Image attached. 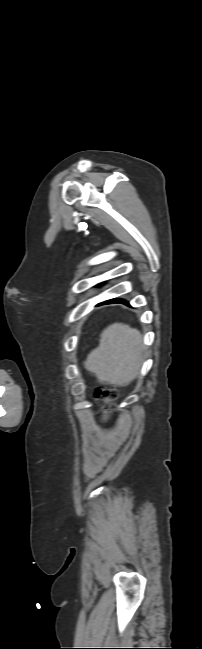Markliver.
Segmentation results:
<instances>
[{"label":"liver","instance_id":"6515ba94","mask_svg":"<svg viewBox=\"0 0 202 649\" xmlns=\"http://www.w3.org/2000/svg\"><path fill=\"white\" fill-rule=\"evenodd\" d=\"M143 349L137 329L114 323L102 331L99 346L88 354L84 367L99 382L127 386L139 373Z\"/></svg>","mask_w":202,"mask_h":649}]
</instances>
